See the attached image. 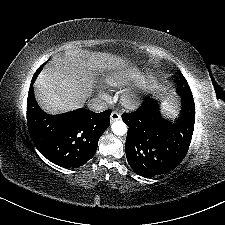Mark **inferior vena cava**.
<instances>
[{
  "label": "inferior vena cava",
  "instance_id": "inferior-vena-cava-1",
  "mask_svg": "<svg viewBox=\"0 0 225 225\" xmlns=\"http://www.w3.org/2000/svg\"><path fill=\"white\" fill-rule=\"evenodd\" d=\"M88 108L93 112L100 113L107 110L108 105L100 99L93 98L89 101Z\"/></svg>",
  "mask_w": 225,
  "mask_h": 225
}]
</instances>
